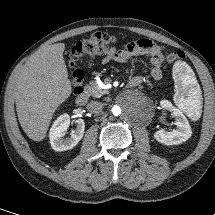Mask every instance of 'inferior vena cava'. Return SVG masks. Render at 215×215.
Instances as JSON below:
<instances>
[{"label": "inferior vena cava", "mask_w": 215, "mask_h": 215, "mask_svg": "<svg viewBox=\"0 0 215 215\" xmlns=\"http://www.w3.org/2000/svg\"><path fill=\"white\" fill-rule=\"evenodd\" d=\"M103 108H104L103 103L99 101H91L87 104L88 111L96 115L101 113Z\"/></svg>", "instance_id": "obj_1"}]
</instances>
